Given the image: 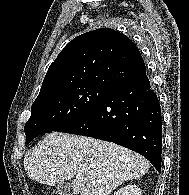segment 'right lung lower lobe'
Here are the masks:
<instances>
[{
    "label": "right lung lower lobe",
    "instance_id": "98d812e1",
    "mask_svg": "<svg viewBox=\"0 0 189 195\" xmlns=\"http://www.w3.org/2000/svg\"><path fill=\"white\" fill-rule=\"evenodd\" d=\"M58 132L114 142L143 155L161 171V110L146 73L110 90Z\"/></svg>",
    "mask_w": 189,
    "mask_h": 195
}]
</instances>
